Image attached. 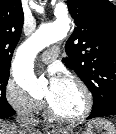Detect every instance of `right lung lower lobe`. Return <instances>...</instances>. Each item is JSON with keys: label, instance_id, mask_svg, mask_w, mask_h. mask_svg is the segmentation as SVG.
<instances>
[{"label": "right lung lower lobe", "instance_id": "obj_1", "mask_svg": "<svg viewBox=\"0 0 116 134\" xmlns=\"http://www.w3.org/2000/svg\"><path fill=\"white\" fill-rule=\"evenodd\" d=\"M14 114H15V111L12 110V111L9 112V113H6V114H4V115H1L0 118H8V117H10V116H13Z\"/></svg>", "mask_w": 116, "mask_h": 134}]
</instances>
